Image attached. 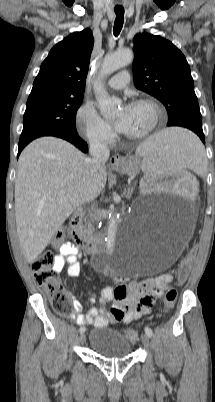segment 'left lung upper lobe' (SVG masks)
<instances>
[{"mask_svg": "<svg viewBox=\"0 0 215 402\" xmlns=\"http://www.w3.org/2000/svg\"><path fill=\"white\" fill-rule=\"evenodd\" d=\"M136 88L160 100L167 109V126L202 131V116L189 64L182 52L161 36L139 33L133 39Z\"/></svg>", "mask_w": 215, "mask_h": 402, "instance_id": "left-lung-upper-lobe-1", "label": "left lung upper lobe"}]
</instances>
